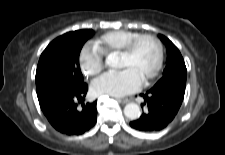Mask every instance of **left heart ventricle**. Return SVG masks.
I'll list each match as a JSON object with an SVG mask.
<instances>
[{
    "mask_svg": "<svg viewBox=\"0 0 225 155\" xmlns=\"http://www.w3.org/2000/svg\"><path fill=\"white\" fill-rule=\"evenodd\" d=\"M157 50L150 39L141 40L134 52L129 56H119V68H130L144 80L153 70L156 62Z\"/></svg>",
    "mask_w": 225,
    "mask_h": 155,
    "instance_id": "obj_1",
    "label": "left heart ventricle"
}]
</instances>
